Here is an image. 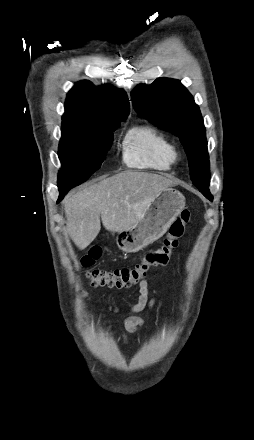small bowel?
<instances>
[{
    "label": "small bowel",
    "instance_id": "c3829d8e",
    "mask_svg": "<svg viewBox=\"0 0 254 440\" xmlns=\"http://www.w3.org/2000/svg\"><path fill=\"white\" fill-rule=\"evenodd\" d=\"M86 295V293H85ZM154 299L149 298V282L143 279L139 283V296L137 302L131 306L132 313H139L145 308H152ZM144 320L140 316L133 315L127 317L121 323V327L125 333H134L143 325Z\"/></svg>",
    "mask_w": 254,
    "mask_h": 440
}]
</instances>
